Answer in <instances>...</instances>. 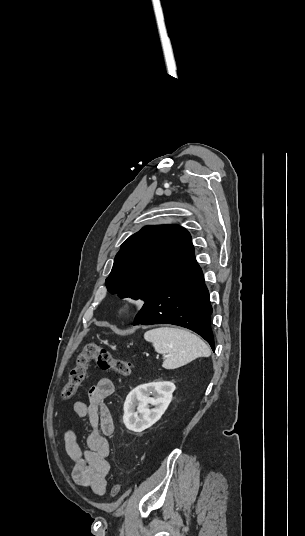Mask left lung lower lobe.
Returning a JSON list of instances; mask_svg holds the SVG:
<instances>
[{"label":"left lung lower lobe","instance_id":"1","mask_svg":"<svg viewBox=\"0 0 305 536\" xmlns=\"http://www.w3.org/2000/svg\"><path fill=\"white\" fill-rule=\"evenodd\" d=\"M210 296L196 260L141 308L133 325L174 324L195 331L214 351Z\"/></svg>","mask_w":305,"mask_h":536}]
</instances>
